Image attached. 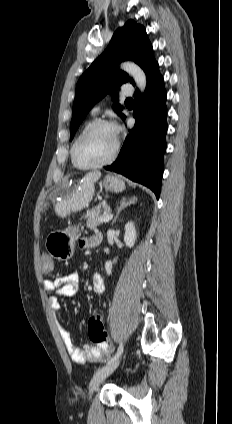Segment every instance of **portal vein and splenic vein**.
Wrapping results in <instances>:
<instances>
[{
    "mask_svg": "<svg viewBox=\"0 0 232 424\" xmlns=\"http://www.w3.org/2000/svg\"><path fill=\"white\" fill-rule=\"evenodd\" d=\"M112 218H113V214H111V213H107V214H104V216H103V217H100V218H99V221H102V222H108V221H110Z\"/></svg>",
    "mask_w": 232,
    "mask_h": 424,
    "instance_id": "18ae733b",
    "label": "portal vein and splenic vein"
}]
</instances>
